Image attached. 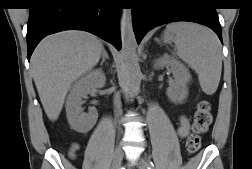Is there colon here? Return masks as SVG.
I'll return each instance as SVG.
<instances>
[{"mask_svg": "<svg viewBox=\"0 0 252 169\" xmlns=\"http://www.w3.org/2000/svg\"><path fill=\"white\" fill-rule=\"evenodd\" d=\"M212 121L211 107L207 101H201L194 115L193 133L188 138L187 150L189 153H195L201 145L200 134L205 132Z\"/></svg>", "mask_w": 252, "mask_h": 169, "instance_id": "colon-1", "label": "colon"}]
</instances>
